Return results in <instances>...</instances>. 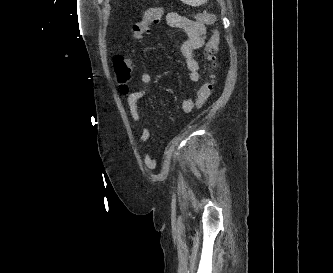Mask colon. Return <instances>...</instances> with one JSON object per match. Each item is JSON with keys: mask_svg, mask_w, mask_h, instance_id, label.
I'll return each instance as SVG.
<instances>
[{"mask_svg": "<svg viewBox=\"0 0 333 273\" xmlns=\"http://www.w3.org/2000/svg\"><path fill=\"white\" fill-rule=\"evenodd\" d=\"M164 9L161 7L151 8L144 12L140 20L135 22L132 26L133 37L140 40L144 35L150 32L151 26L160 21L164 14ZM195 20L202 24L216 23L217 19L213 13H201L195 15ZM220 41V32L216 29L213 34L207 39L202 53L208 62L209 68L213 70L217 66V60L214 54L216 47ZM114 71L116 75L117 83L123 94H128L129 84L133 78V59L129 56L118 55L113 60ZM214 89V78L212 74L204 80L203 84L199 88L195 98V107H202Z\"/></svg>", "mask_w": 333, "mask_h": 273, "instance_id": "obj_1", "label": "colon"}]
</instances>
